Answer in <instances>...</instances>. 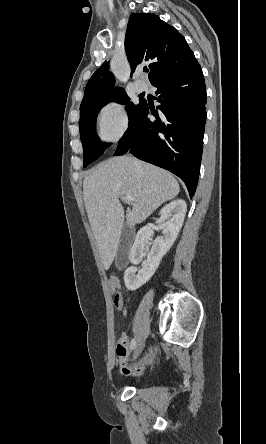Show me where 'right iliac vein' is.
<instances>
[{
  "mask_svg": "<svg viewBox=\"0 0 266 444\" xmlns=\"http://www.w3.org/2000/svg\"><path fill=\"white\" fill-rule=\"evenodd\" d=\"M144 348V341L139 340L135 346L134 353H133V359H137L139 355L141 354L142 350Z\"/></svg>",
  "mask_w": 266,
  "mask_h": 444,
  "instance_id": "right-iliac-vein-1",
  "label": "right iliac vein"
}]
</instances>
